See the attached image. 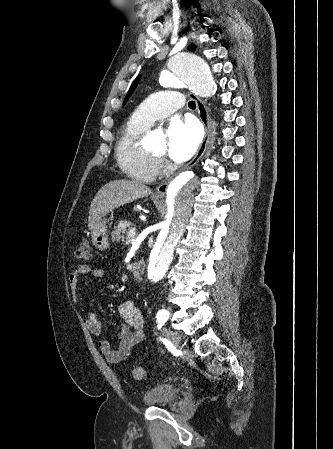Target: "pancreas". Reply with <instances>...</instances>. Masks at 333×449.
<instances>
[{
    "mask_svg": "<svg viewBox=\"0 0 333 449\" xmlns=\"http://www.w3.org/2000/svg\"><path fill=\"white\" fill-rule=\"evenodd\" d=\"M133 227V224L128 221L121 220L117 226L114 227V231L112 232V242H120L122 239L124 241V234L126 233L127 237L125 238L127 243H131L134 239L129 236V230Z\"/></svg>",
    "mask_w": 333,
    "mask_h": 449,
    "instance_id": "obj_1",
    "label": "pancreas"
}]
</instances>
